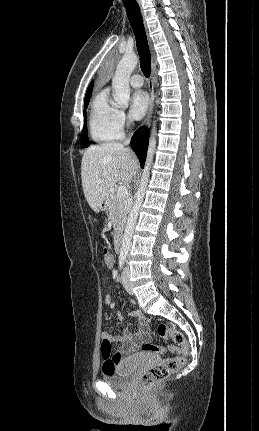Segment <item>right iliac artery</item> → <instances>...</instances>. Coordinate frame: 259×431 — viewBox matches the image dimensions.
I'll return each instance as SVG.
<instances>
[{
	"label": "right iliac artery",
	"mask_w": 259,
	"mask_h": 431,
	"mask_svg": "<svg viewBox=\"0 0 259 431\" xmlns=\"http://www.w3.org/2000/svg\"><path fill=\"white\" fill-rule=\"evenodd\" d=\"M125 255H123V254H121L120 256H119V268L120 269H122L123 268V266H124V264H125Z\"/></svg>",
	"instance_id": "right-iliac-artery-1"
}]
</instances>
